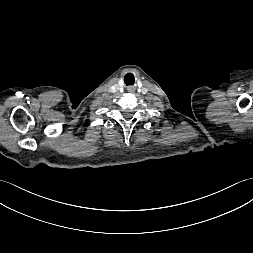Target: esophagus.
Masks as SVG:
<instances>
[{
	"label": "esophagus",
	"instance_id": "esophagus-1",
	"mask_svg": "<svg viewBox=\"0 0 253 253\" xmlns=\"http://www.w3.org/2000/svg\"><path fill=\"white\" fill-rule=\"evenodd\" d=\"M127 90L130 92V91H133V88L132 87H128Z\"/></svg>",
	"mask_w": 253,
	"mask_h": 253
}]
</instances>
